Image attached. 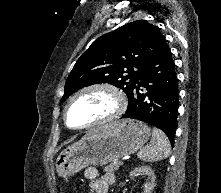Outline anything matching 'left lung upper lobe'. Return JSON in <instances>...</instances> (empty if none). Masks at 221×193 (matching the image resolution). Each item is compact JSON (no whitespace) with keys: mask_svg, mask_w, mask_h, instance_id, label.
Wrapping results in <instances>:
<instances>
[{"mask_svg":"<svg viewBox=\"0 0 221 193\" xmlns=\"http://www.w3.org/2000/svg\"><path fill=\"white\" fill-rule=\"evenodd\" d=\"M166 44L160 29L146 20L102 35L77 60L65 83L61 102L73 92L97 83L119 87L129 98L138 75Z\"/></svg>","mask_w":221,"mask_h":193,"instance_id":"1","label":"left lung upper lobe"}]
</instances>
